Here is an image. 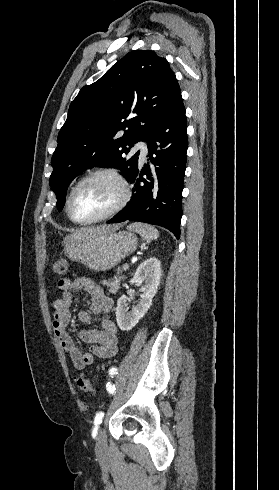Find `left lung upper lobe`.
<instances>
[{
  "instance_id": "1",
  "label": "left lung upper lobe",
  "mask_w": 279,
  "mask_h": 490,
  "mask_svg": "<svg viewBox=\"0 0 279 490\" xmlns=\"http://www.w3.org/2000/svg\"><path fill=\"white\" fill-rule=\"evenodd\" d=\"M181 98L169 63L151 50L127 53L98 81L84 86L69 107L51 159L50 186L58 210L70 182L88 168H117L129 179L139 164V151L126 157L130 147L146 141ZM120 130H125L121 137Z\"/></svg>"
}]
</instances>
